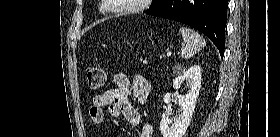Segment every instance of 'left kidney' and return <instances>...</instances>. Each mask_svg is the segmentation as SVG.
<instances>
[{
	"label": "left kidney",
	"mask_w": 280,
	"mask_h": 137,
	"mask_svg": "<svg viewBox=\"0 0 280 137\" xmlns=\"http://www.w3.org/2000/svg\"><path fill=\"white\" fill-rule=\"evenodd\" d=\"M201 68L199 65H193L189 69L180 73L173 80V88H180L181 84L186 81L189 91L186 95L178 98V104L181 107V114L175 117L171 126L166 113L162 114L160 121V130L163 137H183L185 134L195 109V105L199 96L201 87ZM163 101L169 104L171 101V94L167 93Z\"/></svg>",
	"instance_id": "5707ae66"
}]
</instances>
